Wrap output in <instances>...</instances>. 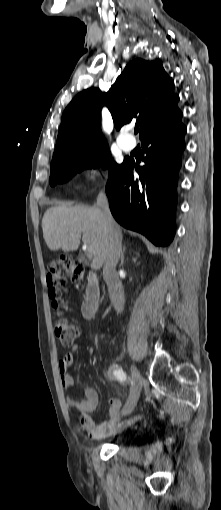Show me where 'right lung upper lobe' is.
Returning <instances> with one entry per match:
<instances>
[{"label": "right lung upper lobe", "mask_w": 221, "mask_h": 510, "mask_svg": "<svg viewBox=\"0 0 221 510\" xmlns=\"http://www.w3.org/2000/svg\"><path fill=\"white\" fill-rule=\"evenodd\" d=\"M173 87L174 81L158 62L136 59L128 63L107 93L91 88L70 102L63 112L52 160L73 149L106 144L101 134L104 105L117 130L135 122L140 126V138L174 124L182 113Z\"/></svg>", "instance_id": "right-lung-upper-lobe-1"}]
</instances>
